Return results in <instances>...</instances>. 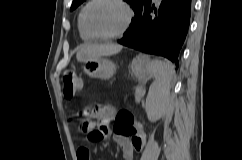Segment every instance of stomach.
<instances>
[{"instance_id":"stomach-1","label":"stomach","mask_w":242,"mask_h":160,"mask_svg":"<svg viewBox=\"0 0 242 160\" xmlns=\"http://www.w3.org/2000/svg\"><path fill=\"white\" fill-rule=\"evenodd\" d=\"M149 58L145 55L135 57L131 63L132 73L138 78L139 81L145 82L150 77L148 68ZM84 72L91 78H99L108 80L113 77L115 73L114 63L103 57H98L93 60L84 61Z\"/></svg>"}]
</instances>
